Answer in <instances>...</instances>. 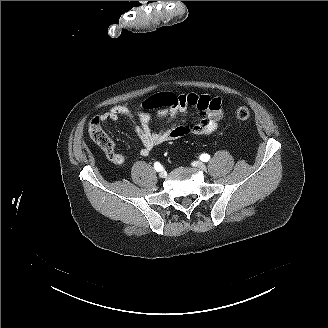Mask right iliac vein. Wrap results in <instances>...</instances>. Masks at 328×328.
<instances>
[{"label": "right iliac vein", "mask_w": 328, "mask_h": 328, "mask_svg": "<svg viewBox=\"0 0 328 328\" xmlns=\"http://www.w3.org/2000/svg\"><path fill=\"white\" fill-rule=\"evenodd\" d=\"M167 176V172L165 170H162L160 173H159V177L160 178H165Z\"/></svg>", "instance_id": "1"}]
</instances>
